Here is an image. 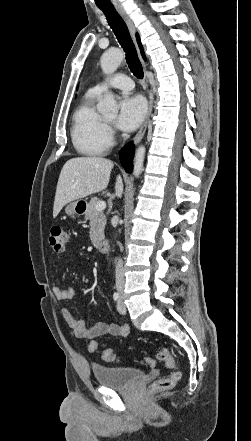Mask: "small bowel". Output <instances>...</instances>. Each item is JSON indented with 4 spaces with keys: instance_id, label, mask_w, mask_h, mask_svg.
I'll return each instance as SVG.
<instances>
[{
    "instance_id": "c3829d8e",
    "label": "small bowel",
    "mask_w": 251,
    "mask_h": 441,
    "mask_svg": "<svg viewBox=\"0 0 251 441\" xmlns=\"http://www.w3.org/2000/svg\"><path fill=\"white\" fill-rule=\"evenodd\" d=\"M55 297L60 301L71 300L75 295V289L72 287L61 288L53 287ZM61 314L66 324L72 329L74 334L83 339H93L102 335H111L126 337L129 333L127 325H118L114 323L98 322L93 327L87 328L83 320H79L67 307L61 308Z\"/></svg>"
}]
</instances>
